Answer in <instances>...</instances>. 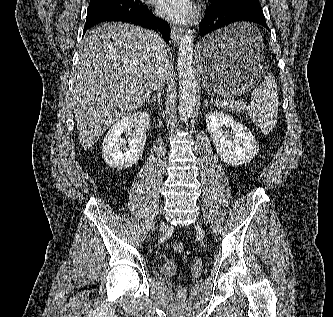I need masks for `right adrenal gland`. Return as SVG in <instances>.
I'll return each instance as SVG.
<instances>
[{
	"label": "right adrenal gland",
	"mask_w": 333,
	"mask_h": 317,
	"mask_svg": "<svg viewBox=\"0 0 333 317\" xmlns=\"http://www.w3.org/2000/svg\"><path fill=\"white\" fill-rule=\"evenodd\" d=\"M161 93L158 91L156 95H154L152 98L148 99V103H158V105L161 104Z\"/></svg>",
	"instance_id": "obj_1"
}]
</instances>
